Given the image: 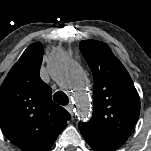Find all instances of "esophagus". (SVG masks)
<instances>
[{
  "label": "esophagus",
  "instance_id": "1",
  "mask_svg": "<svg viewBox=\"0 0 151 151\" xmlns=\"http://www.w3.org/2000/svg\"><path fill=\"white\" fill-rule=\"evenodd\" d=\"M66 110L71 114L73 115V106L71 104L67 105L66 106Z\"/></svg>",
  "mask_w": 151,
  "mask_h": 151
}]
</instances>
